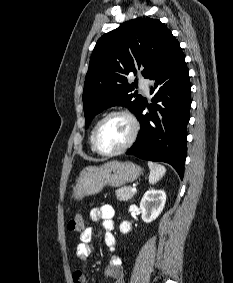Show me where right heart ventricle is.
Masks as SVG:
<instances>
[{
  "label": "right heart ventricle",
  "mask_w": 233,
  "mask_h": 283,
  "mask_svg": "<svg viewBox=\"0 0 233 283\" xmlns=\"http://www.w3.org/2000/svg\"><path fill=\"white\" fill-rule=\"evenodd\" d=\"M97 123H98V121L94 124V126L92 127L91 132H90V145H91L92 151H94V149L92 147V134H93V130H94Z\"/></svg>",
  "instance_id": "right-heart-ventricle-1"
}]
</instances>
